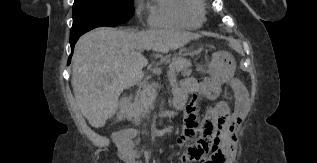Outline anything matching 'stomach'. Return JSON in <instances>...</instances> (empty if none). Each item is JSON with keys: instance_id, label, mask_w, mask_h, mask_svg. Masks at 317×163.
<instances>
[{"instance_id": "stomach-1", "label": "stomach", "mask_w": 317, "mask_h": 163, "mask_svg": "<svg viewBox=\"0 0 317 163\" xmlns=\"http://www.w3.org/2000/svg\"><path fill=\"white\" fill-rule=\"evenodd\" d=\"M234 57L226 51H217L212 54L208 65V73L219 82L229 80L235 71Z\"/></svg>"}]
</instances>
